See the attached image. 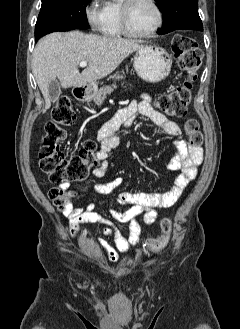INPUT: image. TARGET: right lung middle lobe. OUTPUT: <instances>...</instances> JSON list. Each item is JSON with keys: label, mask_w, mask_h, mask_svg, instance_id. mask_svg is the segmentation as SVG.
Wrapping results in <instances>:
<instances>
[{"label": "right lung middle lobe", "mask_w": 240, "mask_h": 329, "mask_svg": "<svg viewBox=\"0 0 240 329\" xmlns=\"http://www.w3.org/2000/svg\"><path fill=\"white\" fill-rule=\"evenodd\" d=\"M90 0H42L35 25V40L55 31L87 29L85 7Z\"/></svg>", "instance_id": "1"}]
</instances>
